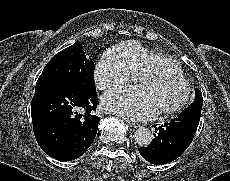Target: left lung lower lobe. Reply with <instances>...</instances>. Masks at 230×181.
Masks as SVG:
<instances>
[{
    "mask_svg": "<svg viewBox=\"0 0 230 181\" xmlns=\"http://www.w3.org/2000/svg\"><path fill=\"white\" fill-rule=\"evenodd\" d=\"M200 121V113L186 111L178 118L155 128V138L147 147L138 148L140 155L155 165L169 163L178 158L191 144Z\"/></svg>",
    "mask_w": 230,
    "mask_h": 181,
    "instance_id": "0a47b994",
    "label": "left lung lower lobe"
}]
</instances>
